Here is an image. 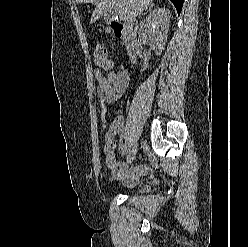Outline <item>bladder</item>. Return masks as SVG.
Here are the masks:
<instances>
[{
    "label": "bladder",
    "instance_id": "obj_1",
    "mask_svg": "<svg viewBox=\"0 0 248 247\" xmlns=\"http://www.w3.org/2000/svg\"><path fill=\"white\" fill-rule=\"evenodd\" d=\"M145 190L144 186H140L137 188V192H143Z\"/></svg>",
    "mask_w": 248,
    "mask_h": 247
}]
</instances>
